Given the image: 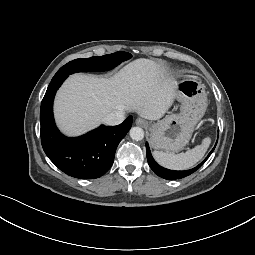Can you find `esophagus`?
Here are the masks:
<instances>
[{"label":"esophagus","mask_w":255,"mask_h":255,"mask_svg":"<svg viewBox=\"0 0 255 255\" xmlns=\"http://www.w3.org/2000/svg\"><path fill=\"white\" fill-rule=\"evenodd\" d=\"M136 124L138 126L145 127V126H147L148 122L146 120L142 119V118H137L136 119Z\"/></svg>","instance_id":"esophagus-1"}]
</instances>
